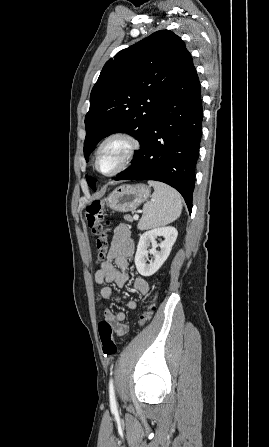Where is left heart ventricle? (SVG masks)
I'll return each instance as SVG.
<instances>
[{"instance_id": "obj_1", "label": "left heart ventricle", "mask_w": 269, "mask_h": 447, "mask_svg": "<svg viewBox=\"0 0 269 447\" xmlns=\"http://www.w3.org/2000/svg\"><path fill=\"white\" fill-rule=\"evenodd\" d=\"M129 143L124 139H115L110 141L102 149L98 167L102 172H108L119 166L124 160Z\"/></svg>"}]
</instances>
